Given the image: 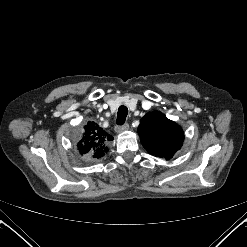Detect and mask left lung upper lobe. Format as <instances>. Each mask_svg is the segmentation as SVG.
Segmentation results:
<instances>
[{"label": "left lung upper lobe", "instance_id": "5c2ea615", "mask_svg": "<svg viewBox=\"0 0 247 247\" xmlns=\"http://www.w3.org/2000/svg\"><path fill=\"white\" fill-rule=\"evenodd\" d=\"M138 133L144 148L152 155L170 159L184 141L181 127L161 112H149L140 121Z\"/></svg>", "mask_w": 247, "mask_h": 247}]
</instances>
